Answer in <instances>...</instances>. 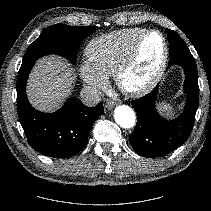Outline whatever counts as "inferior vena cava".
Returning a JSON list of instances; mask_svg holds the SVG:
<instances>
[{"label":"inferior vena cava","instance_id":"1","mask_svg":"<svg viewBox=\"0 0 211 211\" xmlns=\"http://www.w3.org/2000/svg\"><path fill=\"white\" fill-rule=\"evenodd\" d=\"M102 97L103 93L91 86H84L80 93L82 103L89 107L96 106Z\"/></svg>","mask_w":211,"mask_h":211}]
</instances>
